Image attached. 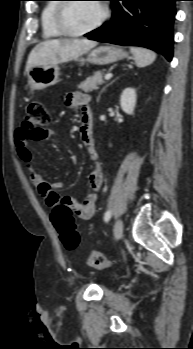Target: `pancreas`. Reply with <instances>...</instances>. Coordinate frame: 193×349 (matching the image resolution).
<instances>
[{
    "label": "pancreas",
    "mask_w": 193,
    "mask_h": 349,
    "mask_svg": "<svg viewBox=\"0 0 193 349\" xmlns=\"http://www.w3.org/2000/svg\"><path fill=\"white\" fill-rule=\"evenodd\" d=\"M103 83V72L97 71L92 76L87 77L86 80L79 85V88L84 92H90L94 89H98V86Z\"/></svg>",
    "instance_id": "obj_1"
}]
</instances>
